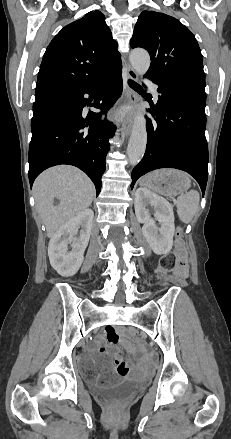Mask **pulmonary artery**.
Returning a JSON list of instances; mask_svg holds the SVG:
<instances>
[{"label": "pulmonary artery", "mask_w": 231, "mask_h": 439, "mask_svg": "<svg viewBox=\"0 0 231 439\" xmlns=\"http://www.w3.org/2000/svg\"><path fill=\"white\" fill-rule=\"evenodd\" d=\"M146 84L149 85L153 89L155 98H158L157 85L150 80H146Z\"/></svg>", "instance_id": "1"}]
</instances>
